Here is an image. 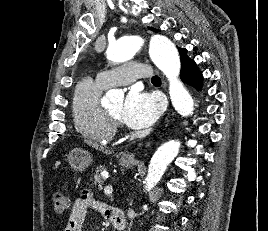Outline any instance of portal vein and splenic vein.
<instances>
[{
    "label": "portal vein and splenic vein",
    "mask_w": 268,
    "mask_h": 231,
    "mask_svg": "<svg viewBox=\"0 0 268 231\" xmlns=\"http://www.w3.org/2000/svg\"><path fill=\"white\" fill-rule=\"evenodd\" d=\"M104 193L106 194V195H108V196H111L112 195V193H113V188H112V186L111 185H107V186H105V188H104Z\"/></svg>",
    "instance_id": "portal-vein-and-splenic-vein-1"
}]
</instances>
